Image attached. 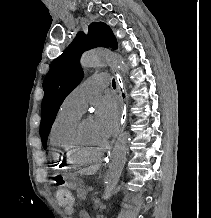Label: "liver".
<instances>
[{
	"label": "liver",
	"instance_id": "6515ba94",
	"mask_svg": "<svg viewBox=\"0 0 211 218\" xmlns=\"http://www.w3.org/2000/svg\"><path fill=\"white\" fill-rule=\"evenodd\" d=\"M91 170H93V172H95V170H97V166H94V168H91Z\"/></svg>",
	"mask_w": 211,
	"mask_h": 218
}]
</instances>
